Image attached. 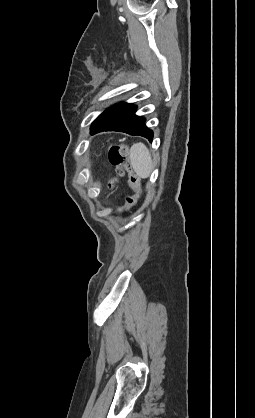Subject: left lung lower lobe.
Masks as SVG:
<instances>
[{"label":"left lung lower lobe","instance_id":"0a47b994","mask_svg":"<svg viewBox=\"0 0 255 418\" xmlns=\"http://www.w3.org/2000/svg\"><path fill=\"white\" fill-rule=\"evenodd\" d=\"M137 107L121 103L104 111L91 125V134L102 131H120L130 135H140L149 141L153 132L145 126V118L135 115Z\"/></svg>","mask_w":255,"mask_h":418}]
</instances>
